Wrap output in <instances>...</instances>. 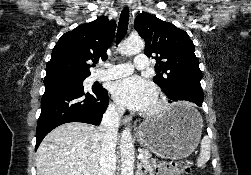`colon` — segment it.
<instances>
[{"mask_svg": "<svg viewBox=\"0 0 251 175\" xmlns=\"http://www.w3.org/2000/svg\"><path fill=\"white\" fill-rule=\"evenodd\" d=\"M189 171V164L180 160L162 161L157 166L158 175H187Z\"/></svg>", "mask_w": 251, "mask_h": 175, "instance_id": "1", "label": "colon"}]
</instances>
